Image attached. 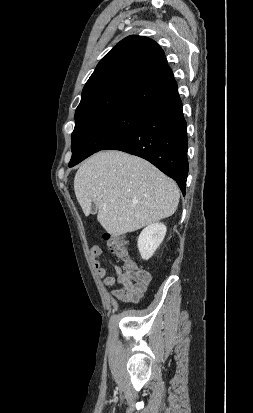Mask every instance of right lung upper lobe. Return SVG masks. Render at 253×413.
Wrapping results in <instances>:
<instances>
[{
	"instance_id": "1",
	"label": "right lung upper lobe",
	"mask_w": 253,
	"mask_h": 413,
	"mask_svg": "<svg viewBox=\"0 0 253 413\" xmlns=\"http://www.w3.org/2000/svg\"><path fill=\"white\" fill-rule=\"evenodd\" d=\"M179 98L163 50L150 38L132 35L99 62L83 88L75 119L115 110L148 115Z\"/></svg>"
}]
</instances>
